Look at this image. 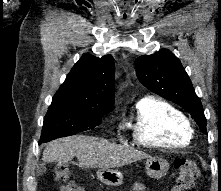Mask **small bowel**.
Here are the masks:
<instances>
[{"label": "small bowel", "mask_w": 221, "mask_h": 191, "mask_svg": "<svg viewBox=\"0 0 221 191\" xmlns=\"http://www.w3.org/2000/svg\"><path fill=\"white\" fill-rule=\"evenodd\" d=\"M146 187L141 182H135L132 186V191H145Z\"/></svg>", "instance_id": "1"}]
</instances>
